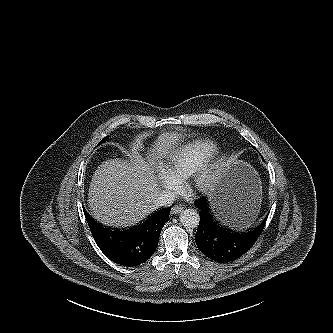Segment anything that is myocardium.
Here are the masks:
<instances>
[{"mask_svg":"<svg viewBox=\"0 0 333 333\" xmlns=\"http://www.w3.org/2000/svg\"><path fill=\"white\" fill-rule=\"evenodd\" d=\"M218 179L219 176L213 168L203 165L191 175L189 186L196 192L207 193L217 184Z\"/></svg>","mask_w":333,"mask_h":333,"instance_id":"obj_1","label":"myocardium"}]
</instances>
